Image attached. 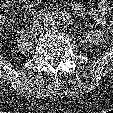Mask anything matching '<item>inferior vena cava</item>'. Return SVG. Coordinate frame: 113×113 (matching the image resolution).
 Returning a JSON list of instances; mask_svg holds the SVG:
<instances>
[{
  "instance_id": "1",
  "label": "inferior vena cava",
  "mask_w": 113,
  "mask_h": 113,
  "mask_svg": "<svg viewBox=\"0 0 113 113\" xmlns=\"http://www.w3.org/2000/svg\"><path fill=\"white\" fill-rule=\"evenodd\" d=\"M50 25H51L52 29H56L59 25V21H57V20L48 21L47 22V27H50Z\"/></svg>"
}]
</instances>
